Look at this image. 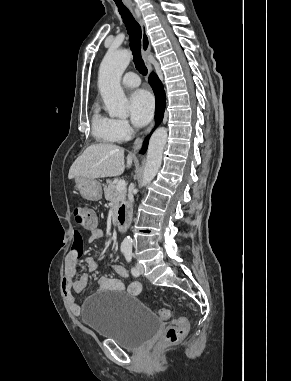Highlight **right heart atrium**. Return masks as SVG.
Here are the masks:
<instances>
[{
  "label": "right heart atrium",
  "instance_id": "right-heart-atrium-1",
  "mask_svg": "<svg viewBox=\"0 0 291 381\" xmlns=\"http://www.w3.org/2000/svg\"><path fill=\"white\" fill-rule=\"evenodd\" d=\"M113 121L114 128L122 139L127 138L131 134L132 129L127 120L114 119Z\"/></svg>",
  "mask_w": 291,
  "mask_h": 381
}]
</instances>
